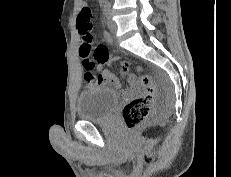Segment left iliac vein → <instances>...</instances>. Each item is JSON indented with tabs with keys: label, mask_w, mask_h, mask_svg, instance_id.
I'll return each mask as SVG.
<instances>
[{
	"label": "left iliac vein",
	"mask_w": 231,
	"mask_h": 177,
	"mask_svg": "<svg viewBox=\"0 0 231 177\" xmlns=\"http://www.w3.org/2000/svg\"><path fill=\"white\" fill-rule=\"evenodd\" d=\"M107 25L112 34H115L117 31V24L112 20L110 13L107 16Z\"/></svg>",
	"instance_id": "4c4485c4"
}]
</instances>
